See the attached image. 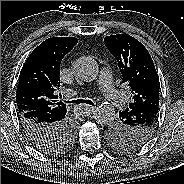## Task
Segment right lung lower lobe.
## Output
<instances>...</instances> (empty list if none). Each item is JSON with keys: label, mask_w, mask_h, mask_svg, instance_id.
<instances>
[{"label": "right lung lower lobe", "mask_w": 184, "mask_h": 184, "mask_svg": "<svg viewBox=\"0 0 184 184\" xmlns=\"http://www.w3.org/2000/svg\"><path fill=\"white\" fill-rule=\"evenodd\" d=\"M65 115L32 111L19 114V119L28 139L41 151L42 148L58 147L68 129L74 130Z\"/></svg>", "instance_id": "1"}]
</instances>
